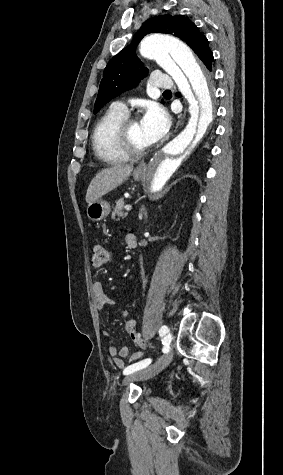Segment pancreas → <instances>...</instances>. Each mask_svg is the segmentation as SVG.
<instances>
[{
  "instance_id": "cf45deb5",
  "label": "pancreas",
  "mask_w": 283,
  "mask_h": 475,
  "mask_svg": "<svg viewBox=\"0 0 283 475\" xmlns=\"http://www.w3.org/2000/svg\"><path fill=\"white\" fill-rule=\"evenodd\" d=\"M124 206V198H120V200H117L114 212H112V220H119L120 216H123V218H126V216H128V212H122Z\"/></svg>"
}]
</instances>
